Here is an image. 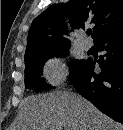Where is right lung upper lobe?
Masks as SVG:
<instances>
[{"label": "right lung upper lobe", "mask_w": 123, "mask_h": 130, "mask_svg": "<svg viewBox=\"0 0 123 130\" xmlns=\"http://www.w3.org/2000/svg\"><path fill=\"white\" fill-rule=\"evenodd\" d=\"M65 16L71 18L74 29L94 24L93 39L123 25V0H69L54 4L36 17L31 25L25 58L70 47Z\"/></svg>", "instance_id": "1"}]
</instances>
